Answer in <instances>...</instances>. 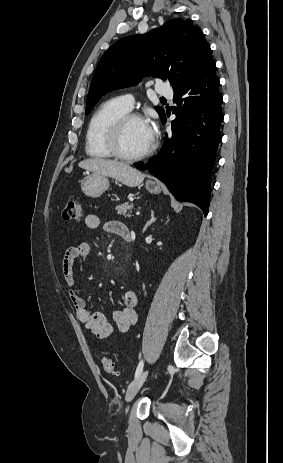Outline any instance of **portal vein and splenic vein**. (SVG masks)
<instances>
[{
  "label": "portal vein and splenic vein",
  "mask_w": 283,
  "mask_h": 463,
  "mask_svg": "<svg viewBox=\"0 0 283 463\" xmlns=\"http://www.w3.org/2000/svg\"><path fill=\"white\" fill-rule=\"evenodd\" d=\"M136 215H140V212H137Z\"/></svg>",
  "instance_id": "portal-vein-and-splenic-vein-1"
}]
</instances>
